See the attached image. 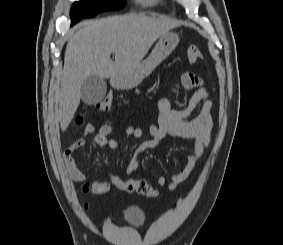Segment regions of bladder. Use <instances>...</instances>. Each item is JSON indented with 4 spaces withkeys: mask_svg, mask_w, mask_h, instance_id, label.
<instances>
[{
    "mask_svg": "<svg viewBox=\"0 0 283 245\" xmlns=\"http://www.w3.org/2000/svg\"><path fill=\"white\" fill-rule=\"evenodd\" d=\"M123 218L127 223L138 226L144 222L145 214L140 207L132 205L123 210Z\"/></svg>",
    "mask_w": 283,
    "mask_h": 245,
    "instance_id": "obj_1",
    "label": "bladder"
}]
</instances>
